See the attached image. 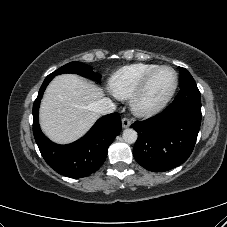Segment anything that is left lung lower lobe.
Returning <instances> with one entry per match:
<instances>
[{
    "mask_svg": "<svg viewBox=\"0 0 227 227\" xmlns=\"http://www.w3.org/2000/svg\"><path fill=\"white\" fill-rule=\"evenodd\" d=\"M201 124L200 91L196 83L181 86L174 101L160 114L132 124L138 132L135 160L145 169L163 172L191 155Z\"/></svg>",
    "mask_w": 227,
    "mask_h": 227,
    "instance_id": "1",
    "label": "left lung lower lobe"
}]
</instances>
